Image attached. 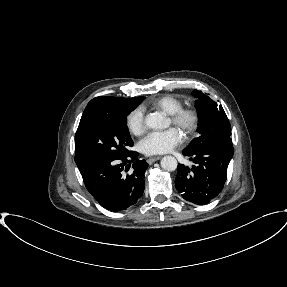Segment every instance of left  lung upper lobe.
<instances>
[{"instance_id":"1","label":"left lung upper lobe","mask_w":287,"mask_h":287,"mask_svg":"<svg viewBox=\"0 0 287 287\" xmlns=\"http://www.w3.org/2000/svg\"><path fill=\"white\" fill-rule=\"evenodd\" d=\"M192 95L198 98L196 108L199 136L193 139L184 150L187 153L196 152L213 143L229 139L231 135V125L222 106L201 91L194 90Z\"/></svg>"}]
</instances>
